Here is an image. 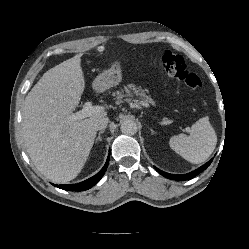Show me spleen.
Masks as SVG:
<instances>
[{
    "label": "spleen",
    "mask_w": 249,
    "mask_h": 249,
    "mask_svg": "<svg viewBox=\"0 0 249 249\" xmlns=\"http://www.w3.org/2000/svg\"><path fill=\"white\" fill-rule=\"evenodd\" d=\"M169 144L185 160L198 164L207 160L213 153L217 135L209 122V117L206 116L192 125L189 135L173 136Z\"/></svg>",
    "instance_id": "obj_1"
}]
</instances>
